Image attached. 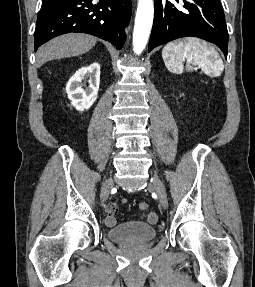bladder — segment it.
I'll return each instance as SVG.
<instances>
[{
  "label": "bladder",
  "mask_w": 255,
  "mask_h": 287,
  "mask_svg": "<svg viewBox=\"0 0 255 287\" xmlns=\"http://www.w3.org/2000/svg\"><path fill=\"white\" fill-rule=\"evenodd\" d=\"M109 239L120 243H146L157 236L155 226L141 221H132L109 227L106 230Z\"/></svg>",
  "instance_id": "1"
}]
</instances>
